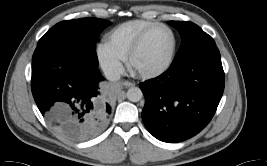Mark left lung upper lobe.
<instances>
[{"instance_id": "5c2ea615", "label": "left lung upper lobe", "mask_w": 267, "mask_h": 166, "mask_svg": "<svg viewBox=\"0 0 267 166\" xmlns=\"http://www.w3.org/2000/svg\"><path fill=\"white\" fill-rule=\"evenodd\" d=\"M181 35V47L173 62H180L196 52L211 46H216L211 36L205 33L199 26L192 22L168 21Z\"/></svg>"}]
</instances>
